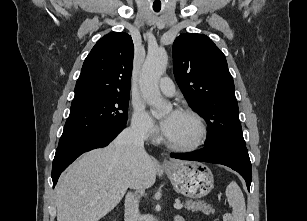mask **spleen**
<instances>
[{
  "instance_id": "spleen-1",
  "label": "spleen",
  "mask_w": 307,
  "mask_h": 221,
  "mask_svg": "<svg viewBox=\"0 0 307 221\" xmlns=\"http://www.w3.org/2000/svg\"><path fill=\"white\" fill-rule=\"evenodd\" d=\"M226 196L228 203L232 207V214L235 221H245L246 216V205L245 198L240 187L236 182L232 181L227 189Z\"/></svg>"
}]
</instances>
